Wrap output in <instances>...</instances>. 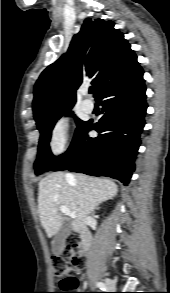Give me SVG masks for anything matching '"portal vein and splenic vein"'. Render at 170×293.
Masks as SVG:
<instances>
[{
    "mask_svg": "<svg viewBox=\"0 0 170 293\" xmlns=\"http://www.w3.org/2000/svg\"><path fill=\"white\" fill-rule=\"evenodd\" d=\"M60 211L69 217L75 218V214L72 213L66 206H60Z\"/></svg>",
    "mask_w": 170,
    "mask_h": 293,
    "instance_id": "obj_1",
    "label": "portal vein and splenic vein"
}]
</instances>
